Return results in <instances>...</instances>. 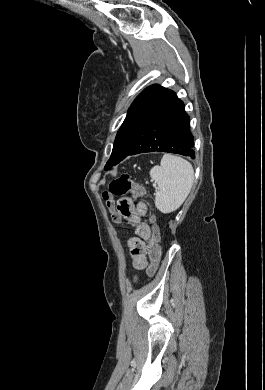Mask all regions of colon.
<instances>
[{"label":"colon","instance_id":"colon-1","mask_svg":"<svg viewBox=\"0 0 265 390\" xmlns=\"http://www.w3.org/2000/svg\"><path fill=\"white\" fill-rule=\"evenodd\" d=\"M127 194H131L134 197H142L145 194V189L139 183L131 180L129 175L122 174L116 179L112 180L109 184V188L107 191L103 193V197L107 203V207L109 208L112 218L114 221L118 222L120 220V214L114 205V202L111 199V196H125ZM159 230L158 227L153 224L152 225V236L149 239L146 247V251L148 257L150 259V265L147 268L148 275L152 276L156 273L160 258H161V249L159 246Z\"/></svg>","mask_w":265,"mask_h":390}]
</instances>
